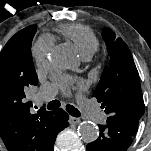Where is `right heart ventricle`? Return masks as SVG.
<instances>
[{"mask_svg": "<svg viewBox=\"0 0 151 151\" xmlns=\"http://www.w3.org/2000/svg\"><path fill=\"white\" fill-rule=\"evenodd\" d=\"M58 31L76 45L82 57L92 55L98 47V40L95 34L87 26L81 24H65Z\"/></svg>", "mask_w": 151, "mask_h": 151, "instance_id": "e07e8e85", "label": "right heart ventricle"}]
</instances>
